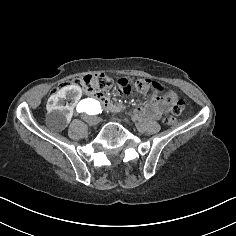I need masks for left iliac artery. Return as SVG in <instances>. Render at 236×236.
Instances as JSON below:
<instances>
[{
  "mask_svg": "<svg viewBox=\"0 0 236 236\" xmlns=\"http://www.w3.org/2000/svg\"><path fill=\"white\" fill-rule=\"evenodd\" d=\"M86 111L89 115H95L98 113H102L100 102L95 99H91L87 102Z\"/></svg>",
  "mask_w": 236,
  "mask_h": 236,
  "instance_id": "1",
  "label": "left iliac artery"
}]
</instances>
